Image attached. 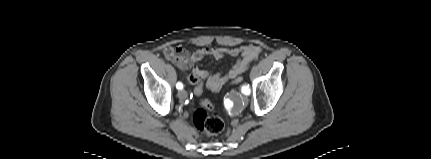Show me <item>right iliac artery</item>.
<instances>
[{
  "label": "right iliac artery",
  "instance_id": "1",
  "mask_svg": "<svg viewBox=\"0 0 431 159\" xmlns=\"http://www.w3.org/2000/svg\"><path fill=\"white\" fill-rule=\"evenodd\" d=\"M176 88L179 89V90L183 89V84L181 82H178L176 84Z\"/></svg>",
  "mask_w": 431,
  "mask_h": 159
}]
</instances>
